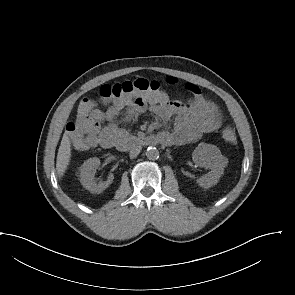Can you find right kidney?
Listing matches in <instances>:
<instances>
[{
  "label": "right kidney",
  "mask_w": 295,
  "mask_h": 295,
  "mask_svg": "<svg viewBox=\"0 0 295 295\" xmlns=\"http://www.w3.org/2000/svg\"><path fill=\"white\" fill-rule=\"evenodd\" d=\"M100 166L99 158H90L80 167V182L84 188L91 193H102L113 182L114 176L110 174L107 181L99 182L94 180L96 169Z\"/></svg>",
  "instance_id": "obj_1"
}]
</instances>
